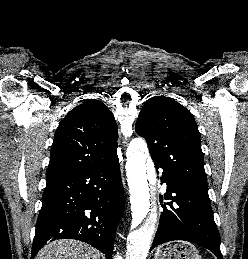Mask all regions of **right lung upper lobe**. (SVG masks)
<instances>
[{
	"instance_id": "obj_1",
	"label": "right lung upper lobe",
	"mask_w": 248,
	"mask_h": 259,
	"mask_svg": "<svg viewBox=\"0 0 248 259\" xmlns=\"http://www.w3.org/2000/svg\"><path fill=\"white\" fill-rule=\"evenodd\" d=\"M117 125L100 101L89 100L68 112L54 135L46 177L103 164L117 155Z\"/></svg>"
}]
</instances>
